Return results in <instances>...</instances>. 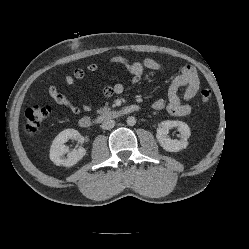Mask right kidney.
<instances>
[{"instance_id": "obj_1", "label": "right kidney", "mask_w": 249, "mask_h": 249, "mask_svg": "<svg viewBox=\"0 0 249 249\" xmlns=\"http://www.w3.org/2000/svg\"><path fill=\"white\" fill-rule=\"evenodd\" d=\"M70 139L78 140L81 143L84 141V138L75 129H65L53 140L50 148V159L55 165L71 167L86 155V150L83 147L69 152L65 143ZM66 153L67 157L64 156Z\"/></svg>"}]
</instances>
